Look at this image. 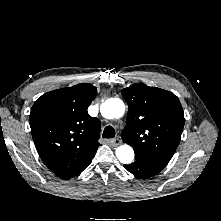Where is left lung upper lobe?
Returning a JSON list of instances; mask_svg holds the SVG:
<instances>
[{"label":"left lung upper lobe","mask_w":221,"mask_h":221,"mask_svg":"<svg viewBox=\"0 0 221 221\" xmlns=\"http://www.w3.org/2000/svg\"><path fill=\"white\" fill-rule=\"evenodd\" d=\"M129 110L121 133L135 153L169 161L175 153L184 127V113L173 93L136 83L122 90Z\"/></svg>","instance_id":"obj_1"}]
</instances>
